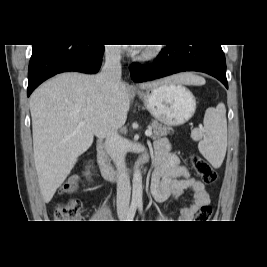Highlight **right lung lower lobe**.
Returning a JSON list of instances; mask_svg holds the SVG:
<instances>
[{
	"mask_svg": "<svg viewBox=\"0 0 267 267\" xmlns=\"http://www.w3.org/2000/svg\"><path fill=\"white\" fill-rule=\"evenodd\" d=\"M104 45H33L28 71L29 97L48 78L62 72L95 74L102 62Z\"/></svg>",
	"mask_w": 267,
	"mask_h": 267,
	"instance_id": "obj_1",
	"label": "right lung lower lobe"
}]
</instances>
